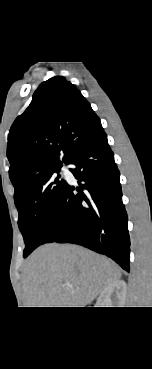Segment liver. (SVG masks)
I'll use <instances>...</instances> for the list:
<instances>
[{"label": "liver", "instance_id": "6515ba94", "mask_svg": "<svg viewBox=\"0 0 152 369\" xmlns=\"http://www.w3.org/2000/svg\"><path fill=\"white\" fill-rule=\"evenodd\" d=\"M120 277L118 266L105 256L76 245L46 244L26 261L25 305L85 307Z\"/></svg>", "mask_w": 152, "mask_h": 369}]
</instances>
